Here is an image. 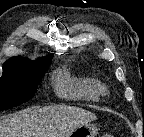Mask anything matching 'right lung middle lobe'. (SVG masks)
<instances>
[{
  "mask_svg": "<svg viewBox=\"0 0 144 137\" xmlns=\"http://www.w3.org/2000/svg\"><path fill=\"white\" fill-rule=\"evenodd\" d=\"M51 61L38 65L3 67L0 78V111L20 105L31 99L42 79L46 66Z\"/></svg>",
  "mask_w": 144,
  "mask_h": 137,
  "instance_id": "1",
  "label": "right lung middle lobe"
}]
</instances>
